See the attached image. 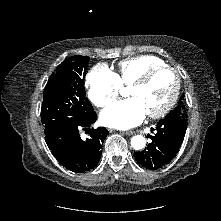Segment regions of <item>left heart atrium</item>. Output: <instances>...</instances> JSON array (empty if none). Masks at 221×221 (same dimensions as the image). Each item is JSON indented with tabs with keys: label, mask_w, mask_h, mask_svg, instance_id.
Returning a JSON list of instances; mask_svg holds the SVG:
<instances>
[{
	"label": "left heart atrium",
	"mask_w": 221,
	"mask_h": 221,
	"mask_svg": "<svg viewBox=\"0 0 221 221\" xmlns=\"http://www.w3.org/2000/svg\"><path fill=\"white\" fill-rule=\"evenodd\" d=\"M146 114L141 101L131 97L106 107L101 113V121L107 127L129 129L141 123Z\"/></svg>",
	"instance_id": "39dd6f15"
}]
</instances>
